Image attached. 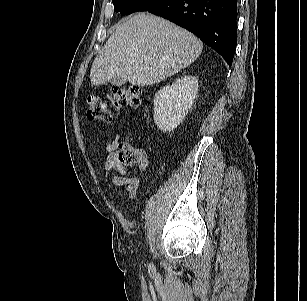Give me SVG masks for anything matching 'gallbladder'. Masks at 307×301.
Here are the masks:
<instances>
[{"instance_id":"obj_1","label":"gallbladder","mask_w":307,"mask_h":301,"mask_svg":"<svg viewBox=\"0 0 307 301\" xmlns=\"http://www.w3.org/2000/svg\"><path fill=\"white\" fill-rule=\"evenodd\" d=\"M110 83L114 86L120 87L126 83V80L120 76H114L111 80Z\"/></svg>"}]
</instances>
